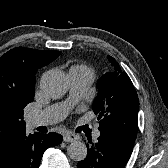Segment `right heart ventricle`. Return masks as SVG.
<instances>
[{"instance_id":"right-heart-ventricle-1","label":"right heart ventricle","mask_w":168,"mask_h":168,"mask_svg":"<svg viewBox=\"0 0 168 168\" xmlns=\"http://www.w3.org/2000/svg\"><path fill=\"white\" fill-rule=\"evenodd\" d=\"M79 71H87V72L93 73L92 69L85 64H75V65H73L70 68L69 73L79 72Z\"/></svg>"}]
</instances>
